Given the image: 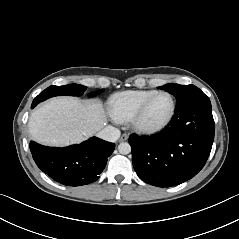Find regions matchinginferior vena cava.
<instances>
[{"mask_svg": "<svg viewBox=\"0 0 239 239\" xmlns=\"http://www.w3.org/2000/svg\"><path fill=\"white\" fill-rule=\"evenodd\" d=\"M120 134L119 129L109 125L98 133V137L108 142H115L120 137Z\"/></svg>", "mask_w": 239, "mask_h": 239, "instance_id": "inferior-vena-cava-1", "label": "inferior vena cava"}]
</instances>
